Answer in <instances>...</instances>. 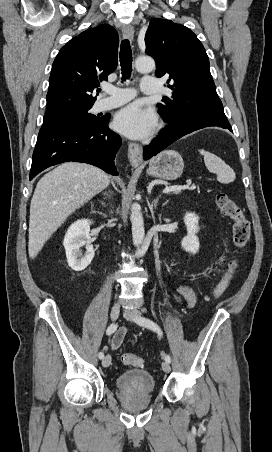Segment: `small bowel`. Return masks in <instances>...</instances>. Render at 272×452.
Masks as SVG:
<instances>
[{
	"label": "small bowel",
	"instance_id": "1",
	"mask_svg": "<svg viewBox=\"0 0 272 452\" xmlns=\"http://www.w3.org/2000/svg\"><path fill=\"white\" fill-rule=\"evenodd\" d=\"M175 296L179 301L184 302L187 306H192L196 300V296L193 290L183 285L176 288ZM126 334L127 329L124 327L116 331L110 343V347L112 350H117L121 347Z\"/></svg>",
	"mask_w": 272,
	"mask_h": 452
}]
</instances>
